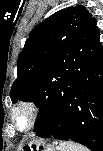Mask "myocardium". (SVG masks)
I'll return each mask as SVG.
<instances>
[{
    "mask_svg": "<svg viewBox=\"0 0 103 151\" xmlns=\"http://www.w3.org/2000/svg\"><path fill=\"white\" fill-rule=\"evenodd\" d=\"M24 114L28 121L24 128H20L16 123V116ZM11 125L20 133H29L36 128L40 121V109L38 104L31 99H21L16 102L9 111Z\"/></svg>",
    "mask_w": 103,
    "mask_h": 151,
    "instance_id": "myocardium-1",
    "label": "myocardium"
}]
</instances>
